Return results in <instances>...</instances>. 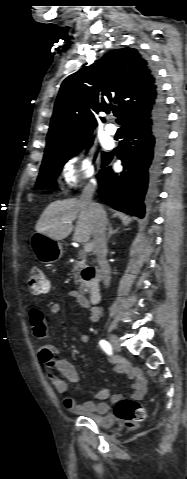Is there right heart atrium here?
I'll list each match as a JSON object with an SVG mask.
<instances>
[{
    "label": "right heart atrium",
    "instance_id": "right-heart-atrium-1",
    "mask_svg": "<svg viewBox=\"0 0 187 479\" xmlns=\"http://www.w3.org/2000/svg\"><path fill=\"white\" fill-rule=\"evenodd\" d=\"M80 179L96 181V160L92 151L86 150L80 156L66 161L60 171L59 183L62 189L76 185Z\"/></svg>",
    "mask_w": 187,
    "mask_h": 479
}]
</instances>
